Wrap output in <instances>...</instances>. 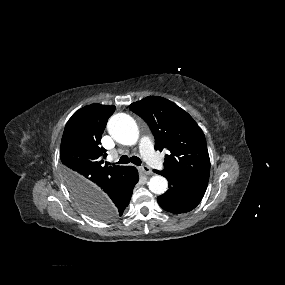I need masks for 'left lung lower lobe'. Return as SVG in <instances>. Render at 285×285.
I'll return each instance as SVG.
<instances>
[{
  "mask_svg": "<svg viewBox=\"0 0 285 285\" xmlns=\"http://www.w3.org/2000/svg\"><path fill=\"white\" fill-rule=\"evenodd\" d=\"M155 173L167 178L169 189L157 197L159 205L171 213H184L194 209L202 200L207 186L183 181L172 175H165L161 171Z\"/></svg>",
  "mask_w": 285,
  "mask_h": 285,
  "instance_id": "left-lung-lower-lobe-1",
  "label": "left lung lower lobe"
}]
</instances>
